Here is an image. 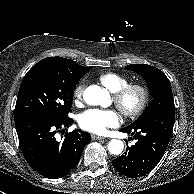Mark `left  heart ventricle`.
Masks as SVG:
<instances>
[{"mask_svg": "<svg viewBox=\"0 0 194 194\" xmlns=\"http://www.w3.org/2000/svg\"><path fill=\"white\" fill-rule=\"evenodd\" d=\"M138 102V94L136 92H132L128 99H127V105L130 106H134L136 105Z\"/></svg>", "mask_w": 194, "mask_h": 194, "instance_id": "left-heart-ventricle-1", "label": "left heart ventricle"}]
</instances>
